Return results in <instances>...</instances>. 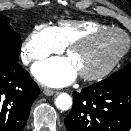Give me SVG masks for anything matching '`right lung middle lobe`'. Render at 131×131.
<instances>
[{
  "mask_svg": "<svg viewBox=\"0 0 131 131\" xmlns=\"http://www.w3.org/2000/svg\"><path fill=\"white\" fill-rule=\"evenodd\" d=\"M21 52V38L9 24V19L0 15V66L17 63Z\"/></svg>",
  "mask_w": 131,
  "mask_h": 131,
  "instance_id": "obj_1",
  "label": "right lung middle lobe"
}]
</instances>
